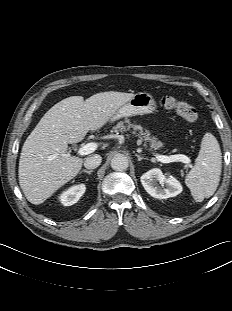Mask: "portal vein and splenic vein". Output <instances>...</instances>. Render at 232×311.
I'll list each match as a JSON object with an SVG mask.
<instances>
[{
	"label": "portal vein and splenic vein",
	"instance_id": "obj_1",
	"mask_svg": "<svg viewBox=\"0 0 232 311\" xmlns=\"http://www.w3.org/2000/svg\"><path fill=\"white\" fill-rule=\"evenodd\" d=\"M96 149H97L96 143H88L78 149V154L80 156L88 155L94 152ZM156 158L158 161L162 163H170V162L189 163L190 162V159L186 155H183V154L170 155V156L157 155Z\"/></svg>",
	"mask_w": 232,
	"mask_h": 311
}]
</instances>
